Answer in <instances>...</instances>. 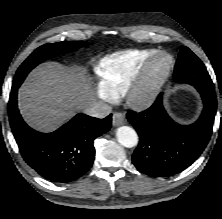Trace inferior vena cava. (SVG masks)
Segmentation results:
<instances>
[{
	"label": "inferior vena cava",
	"mask_w": 222,
	"mask_h": 219,
	"mask_svg": "<svg viewBox=\"0 0 222 219\" xmlns=\"http://www.w3.org/2000/svg\"><path fill=\"white\" fill-rule=\"evenodd\" d=\"M84 112L92 117L104 118L112 112V107L106 103L98 102L88 106Z\"/></svg>",
	"instance_id": "1"
}]
</instances>
